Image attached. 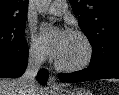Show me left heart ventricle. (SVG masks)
<instances>
[{"instance_id": "obj_1", "label": "left heart ventricle", "mask_w": 119, "mask_h": 95, "mask_svg": "<svg viewBox=\"0 0 119 95\" xmlns=\"http://www.w3.org/2000/svg\"><path fill=\"white\" fill-rule=\"evenodd\" d=\"M85 54L83 42L76 36L72 35L64 52L57 59L60 63L71 65L81 61Z\"/></svg>"}]
</instances>
